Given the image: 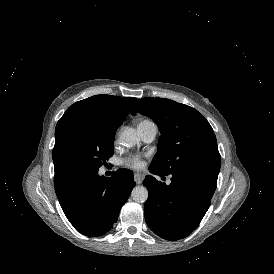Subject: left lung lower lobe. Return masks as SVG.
Wrapping results in <instances>:
<instances>
[{"mask_svg":"<svg viewBox=\"0 0 274 274\" xmlns=\"http://www.w3.org/2000/svg\"><path fill=\"white\" fill-rule=\"evenodd\" d=\"M149 171L171 176V184L148 175L143 184L149 191L144 214L149 228L158 236L178 240L188 236L207 212L216 189L218 175L203 171H180L165 174L155 167Z\"/></svg>","mask_w":274,"mask_h":274,"instance_id":"0a47b994","label":"left lung lower lobe"}]
</instances>
